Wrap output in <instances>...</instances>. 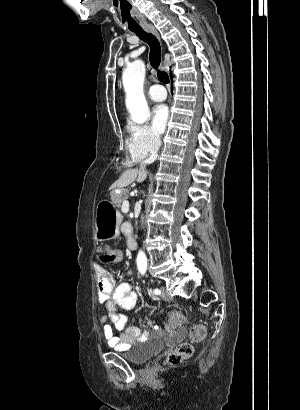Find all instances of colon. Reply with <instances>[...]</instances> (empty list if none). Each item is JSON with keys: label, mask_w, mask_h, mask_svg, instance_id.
Instances as JSON below:
<instances>
[{"label": "colon", "mask_w": 300, "mask_h": 410, "mask_svg": "<svg viewBox=\"0 0 300 410\" xmlns=\"http://www.w3.org/2000/svg\"><path fill=\"white\" fill-rule=\"evenodd\" d=\"M121 257V250L119 248H108L98 258L103 265H112L118 262ZM170 324L173 327H180L184 322V317L181 315L180 309H175L169 315ZM207 335V330L203 325L194 326L191 330V337L193 341H202ZM193 353V346L188 342L181 343L176 350L169 353L166 362L170 365H176L184 359L191 356Z\"/></svg>", "instance_id": "obj_1"}]
</instances>
